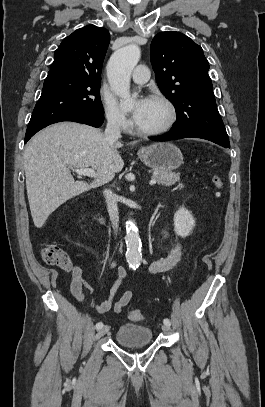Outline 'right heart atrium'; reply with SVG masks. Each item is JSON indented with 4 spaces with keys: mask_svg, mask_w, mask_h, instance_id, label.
Returning <instances> with one entry per match:
<instances>
[{
    "mask_svg": "<svg viewBox=\"0 0 265 407\" xmlns=\"http://www.w3.org/2000/svg\"><path fill=\"white\" fill-rule=\"evenodd\" d=\"M100 99L107 123L117 130H127L130 127V121L115 99L105 90H101Z\"/></svg>",
    "mask_w": 265,
    "mask_h": 407,
    "instance_id": "obj_1",
    "label": "right heart atrium"
}]
</instances>
